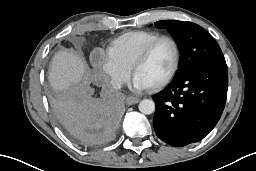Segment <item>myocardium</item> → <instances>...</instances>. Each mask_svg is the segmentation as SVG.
<instances>
[{
    "label": "myocardium",
    "mask_w": 256,
    "mask_h": 171,
    "mask_svg": "<svg viewBox=\"0 0 256 171\" xmlns=\"http://www.w3.org/2000/svg\"><path fill=\"white\" fill-rule=\"evenodd\" d=\"M162 41H169L172 44L173 49H174V62H173V66H172L169 74L162 81L148 87L151 90H160V89L164 88L175 77V75L179 69V65H180V49H179V45L176 42V40L167 35H162V36L155 38L141 50V52L137 55V57L134 59L132 65H131V72L135 76V72L138 69V67L141 66L148 59L149 55L151 54V52L155 48V46Z\"/></svg>",
    "instance_id": "myocardium-1"
}]
</instances>
